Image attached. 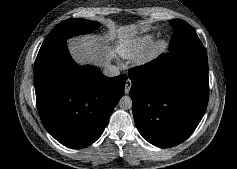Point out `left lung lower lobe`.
Wrapping results in <instances>:
<instances>
[{
    "label": "left lung lower lobe",
    "mask_w": 237,
    "mask_h": 169,
    "mask_svg": "<svg viewBox=\"0 0 237 169\" xmlns=\"http://www.w3.org/2000/svg\"><path fill=\"white\" fill-rule=\"evenodd\" d=\"M135 124L149 143L169 148L187 139L201 121L209 96L207 54L189 53L129 71Z\"/></svg>",
    "instance_id": "1"
}]
</instances>
